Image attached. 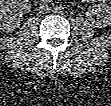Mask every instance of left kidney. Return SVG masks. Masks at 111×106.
<instances>
[{
  "mask_svg": "<svg viewBox=\"0 0 111 106\" xmlns=\"http://www.w3.org/2000/svg\"><path fill=\"white\" fill-rule=\"evenodd\" d=\"M89 15L95 16L99 24L111 25V7L108 5H97L89 9Z\"/></svg>",
  "mask_w": 111,
  "mask_h": 106,
  "instance_id": "left-kidney-1",
  "label": "left kidney"
}]
</instances>
